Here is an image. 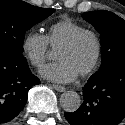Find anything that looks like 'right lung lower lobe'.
<instances>
[{"instance_id": "right-lung-lower-lobe-1", "label": "right lung lower lobe", "mask_w": 125, "mask_h": 125, "mask_svg": "<svg viewBox=\"0 0 125 125\" xmlns=\"http://www.w3.org/2000/svg\"><path fill=\"white\" fill-rule=\"evenodd\" d=\"M39 82L21 53L0 46V123L12 120L23 110L29 89Z\"/></svg>"}]
</instances>
